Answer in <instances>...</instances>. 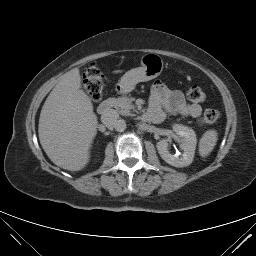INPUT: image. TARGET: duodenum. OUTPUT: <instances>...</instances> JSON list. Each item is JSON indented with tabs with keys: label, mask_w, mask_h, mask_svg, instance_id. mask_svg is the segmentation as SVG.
<instances>
[{
	"label": "duodenum",
	"mask_w": 256,
	"mask_h": 256,
	"mask_svg": "<svg viewBox=\"0 0 256 256\" xmlns=\"http://www.w3.org/2000/svg\"><path fill=\"white\" fill-rule=\"evenodd\" d=\"M112 108V101L111 100H104L101 102L97 108L99 114L103 115L108 113Z\"/></svg>",
	"instance_id": "duodenum-1"
}]
</instances>
